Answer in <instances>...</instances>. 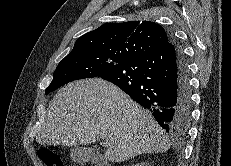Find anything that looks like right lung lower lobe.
Wrapping results in <instances>:
<instances>
[{
	"label": "right lung lower lobe",
	"mask_w": 231,
	"mask_h": 166,
	"mask_svg": "<svg viewBox=\"0 0 231 166\" xmlns=\"http://www.w3.org/2000/svg\"><path fill=\"white\" fill-rule=\"evenodd\" d=\"M148 109L173 136L186 133L191 119V87L184 53L171 39L156 52L117 64L99 76Z\"/></svg>",
	"instance_id": "obj_1"
}]
</instances>
